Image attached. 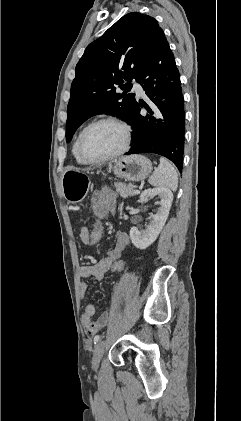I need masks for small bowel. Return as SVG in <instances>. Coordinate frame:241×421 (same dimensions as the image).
I'll return each mask as SVG.
<instances>
[{
	"mask_svg": "<svg viewBox=\"0 0 241 421\" xmlns=\"http://www.w3.org/2000/svg\"><path fill=\"white\" fill-rule=\"evenodd\" d=\"M117 195L112 190L97 191L92 195L93 214L102 219L114 212ZM89 229L82 227L79 232V239L84 244L87 243ZM129 245V236L125 232H119L116 236L113 248L107 253L106 257L100 261L81 267L80 275L84 280L100 281L109 271L112 263L119 259ZM87 283L82 281L79 285V293L84 297L87 293ZM95 307L87 305L82 315V323L86 333L89 336L95 335L108 322V313H103L96 321H92L95 315Z\"/></svg>",
	"mask_w": 241,
	"mask_h": 421,
	"instance_id": "c3829d8e",
	"label": "small bowel"
}]
</instances>
